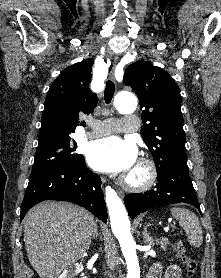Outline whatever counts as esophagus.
<instances>
[{"mask_svg": "<svg viewBox=\"0 0 221 278\" xmlns=\"http://www.w3.org/2000/svg\"><path fill=\"white\" fill-rule=\"evenodd\" d=\"M116 64H117V58L114 59V62L111 65L110 74H109V78L111 80H115L114 71H115ZM102 180H104V179L102 178ZM118 194L120 197L124 196V192L121 190L118 191Z\"/></svg>", "mask_w": 221, "mask_h": 278, "instance_id": "1", "label": "esophagus"}]
</instances>
